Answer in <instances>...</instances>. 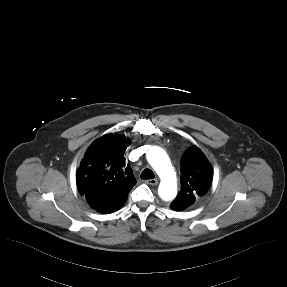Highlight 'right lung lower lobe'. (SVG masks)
<instances>
[{
	"mask_svg": "<svg viewBox=\"0 0 287 287\" xmlns=\"http://www.w3.org/2000/svg\"><path fill=\"white\" fill-rule=\"evenodd\" d=\"M128 193L122 192L111 197H86L88 204L100 213H112L120 209L127 200Z\"/></svg>",
	"mask_w": 287,
	"mask_h": 287,
	"instance_id": "1",
	"label": "right lung lower lobe"
}]
</instances>
